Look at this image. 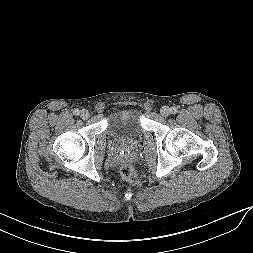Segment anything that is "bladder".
Segmentation results:
<instances>
[{
	"instance_id": "31cf9c89",
	"label": "bladder",
	"mask_w": 253,
	"mask_h": 253,
	"mask_svg": "<svg viewBox=\"0 0 253 253\" xmlns=\"http://www.w3.org/2000/svg\"><path fill=\"white\" fill-rule=\"evenodd\" d=\"M142 119V111L136 106L118 108L107 118V132L118 141L136 139L143 132Z\"/></svg>"
}]
</instances>
